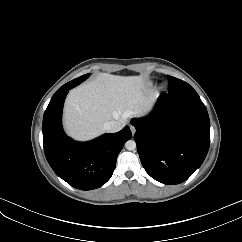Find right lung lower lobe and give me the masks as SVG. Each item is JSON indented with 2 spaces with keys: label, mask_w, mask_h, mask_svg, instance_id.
I'll list each match as a JSON object with an SVG mask.
<instances>
[{
  "label": "right lung lower lobe",
  "mask_w": 242,
  "mask_h": 242,
  "mask_svg": "<svg viewBox=\"0 0 242 242\" xmlns=\"http://www.w3.org/2000/svg\"><path fill=\"white\" fill-rule=\"evenodd\" d=\"M75 85L65 86L53 95L43 117V146L48 163L60 178L77 189L92 190L110 179L117 156L132 133L125 126L90 142L67 137L61 124L62 109L68 91Z\"/></svg>",
  "instance_id": "98d812e1"
}]
</instances>
